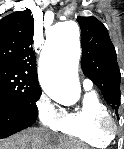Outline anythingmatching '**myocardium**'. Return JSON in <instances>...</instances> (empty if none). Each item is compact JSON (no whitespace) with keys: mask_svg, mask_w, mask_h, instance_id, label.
Here are the masks:
<instances>
[{"mask_svg":"<svg viewBox=\"0 0 124 149\" xmlns=\"http://www.w3.org/2000/svg\"><path fill=\"white\" fill-rule=\"evenodd\" d=\"M100 131L111 139L117 134V124L110 115L103 117L99 122Z\"/></svg>","mask_w":124,"mask_h":149,"instance_id":"1","label":"myocardium"}]
</instances>
